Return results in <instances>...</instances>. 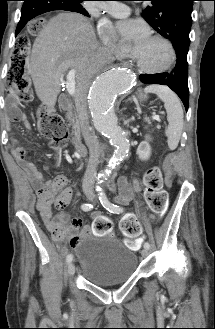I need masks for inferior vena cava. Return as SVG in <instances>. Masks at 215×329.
Segmentation results:
<instances>
[{"mask_svg":"<svg viewBox=\"0 0 215 329\" xmlns=\"http://www.w3.org/2000/svg\"><path fill=\"white\" fill-rule=\"evenodd\" d=\"M111 54L108 48H100L97 55V60L101 63H104L105 60H110ZM87 92L88 87H83L80 89L75 96V106L78 114L81 132L84 137L85 143L89 148V161L88 166L84 176L83 185H87L93 182L96 168L99 163V155H100V146L99 141L96 136L91 133L88 122V114H87Z\"/></svg>","mask_w":215,"mask_h":329,"instance_id":"602c4592","label":"inferior vena cava"}]
</instances>
